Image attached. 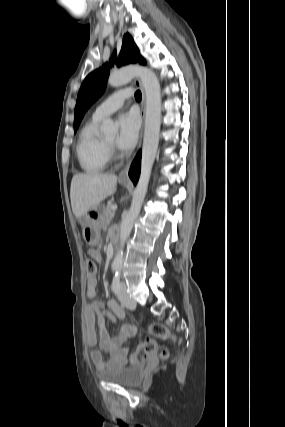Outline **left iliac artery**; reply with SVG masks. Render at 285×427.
<instances>
[{
	"instance_id": "1",
	"label": "left iliac artery",
	"mask_w": 285,
	"mask_h": 427,
	"mask_svg": "<svg viewBox=\"0 0 285 427\" xmlns=\"http://www.w3.org/2000/svg\"><path fill=\"white\" fill-rule=\"evenodd\" d=\"M120 276H121V273L119 270H117L115 273V276L113 278V282H112V289H113L114 293H118V291H119Z\"/></svg>"
}]
</instances>
